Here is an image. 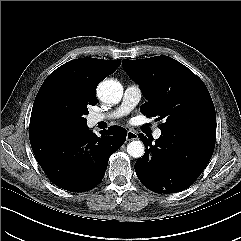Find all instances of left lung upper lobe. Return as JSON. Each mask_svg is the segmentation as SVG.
I'll return each mask as SVG.
<instances>
[{"label":"left lung upper lobe","mask_w":241,"mask_h":241,"mask_svg":"<svg viewBox=\"0 0 241 241\" xmlns=\"http://www.w3.org/2000/svg\"><path fill=\"white\" fill-rule=\"evenodd\" d=\"M125 72L139 84L147 102L140 111L164 120L161 130H176L216 138V113L203 81L168 56L123 60Z\"/></svg>","instance_id":"left-lung-upper-lobe-1"}]
</instances>
